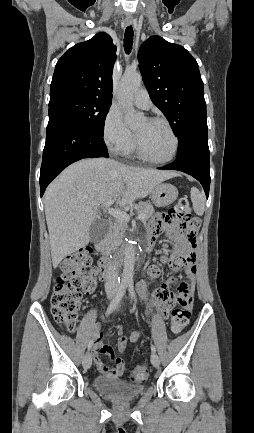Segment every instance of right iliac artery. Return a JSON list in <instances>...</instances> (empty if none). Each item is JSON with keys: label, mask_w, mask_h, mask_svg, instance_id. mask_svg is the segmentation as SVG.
Masks as SVG:
<instances>
[{"label": "right iliac artery", "mask_w": 254, "mask_h": 433, "mask_svg": "<svg viewBox=\"0 0 254 433\" xmlns=\"http://www.w3.org/2000/svg\"><path fill=\"white\" fill-rule=\"evenodd\" d=\"M126 287H127V283L126 282H121L120 283L118 291L116 293V296L114 297V299L111 301L110 305L107 308V311H106V315L107 316L109 314H111L116 309V307L118 306V304L120 303L123 295L125 294ZM91 343L92 342H90L89 345H88V350L91 349Z\"/></svg>", "instance_id": "82829eb1"}]
</instances>
